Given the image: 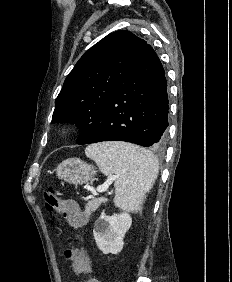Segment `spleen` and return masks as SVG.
<instances>
[{
  "label": "spleen",
  "instance_id": "1",
  "mask_svg": "<svg viewBox=\"0 0 232 282\" xmlns=\"http://www.w3.org/2000/svg\"><path fill=\"white\" fill-rule=\"evenodd\" d=\"M105 175L116 174L114 203L122 210L142 211L146 194L152 189L159 172L156 157L139 146L110 142L85 149Z\"/></svg>",
  "mask_w": 232,
  "mask_h": 282
}]
</instances>
